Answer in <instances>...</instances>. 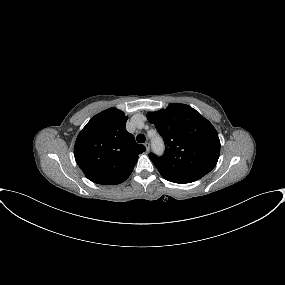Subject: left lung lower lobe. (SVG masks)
I'll list each match as a JSON object with an SVG mask.
<instances>
[{
    "mask_svg": "<svg viewBox=\"0 0 285 285\" xmlns=\"http://www.w3.org/2000/svg\"><path fill=\"white\" fill-rule=\"evenodd\" d=\"M170 182H174V183H179V184H184V183H191L192 181H188V180H177V179H174V180H168Z\"/></svg>",
    "mask_w": 285,
    "mask_h": 285,
    "instance_id": "left-lung-lower-lobe-1",
    "label": "left lung lower lobe"
}]
</instances>
